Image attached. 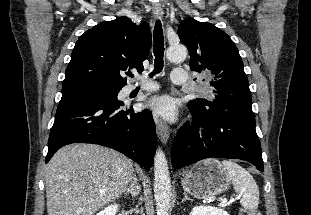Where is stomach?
<instances>
[{
  "instance_id": "obj_1",
  "label": "stomach",
  "mask_w": 311,
  "mask_h": 215,
  "mask_svg": "<svg viewBox=\"0 0 311 215\" xmlns=\"http://www.w3.org/2000/svg\"><path fill=\"white\" fill-rule=\"evenodd\" d=\"M230 184L231 179L217 159L198 162L181 180L184 191L198 199L213 198L226 191Z\"/></svg>"
}]
</instances>
